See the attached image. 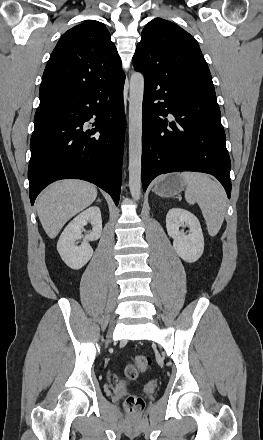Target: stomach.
I'll list each match as a JSON object with an SVG mask.
<instances>
[{
	"label": "stomach",
	"instance_id": "1",
	"mask_svg": "<svg viewBox=\"0 0 263 440\" xmlns=\"http://www.w3.org/2000/svg\"><path fill=\"white\" fill-rule=\"evenodd\" d=\"M185 183L179 173L159 177L153 185V191L161 197H173L178 195L184 188Z\"/></svg>",
	"mask_w": 263,
	"mask_h": 440
}]
</instances>
